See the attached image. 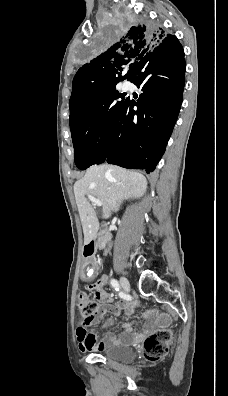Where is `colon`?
I'll return each mask as SVG.
<instances>
[{
	"instance_id": "5ec220e1",
	"label": "colon",
	"mask_w": 228,
	"mask_h": 396,
	"mask_svg": "<svg viewBox=\"0 0 228 396\" xmlns=\"http://www.w3.org/2000/svg\"><path fill=\"white\" fill-rule=\"evenodd\" d=\"M86 256V255H85ZM78 308L81 316V326L87 327L92 323L98 305L87 293L78 295ZM171 341V333L168 330H159L149 335L143 343V351L146 359L155 362L164 358L168 353Z\"/></svg>"
}]
</instances>
